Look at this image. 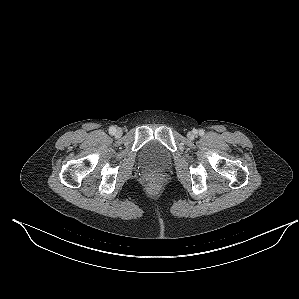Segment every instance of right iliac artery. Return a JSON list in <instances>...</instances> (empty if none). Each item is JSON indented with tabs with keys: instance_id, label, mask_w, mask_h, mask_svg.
Returning <instances> with one entry per match:
<instances>
[{
	"instance_id": "1",
	"label": "right iliac artery",
	"mask_w": 299,
	"mask_h": 299,
	"mask_svg": "<svg viewBox=\"0 0 299 299\" xmlns=\"http://www.w3.org/2000/svg\"><path fill=\"white\" fill-rule=\"evenodd\" d=\"M116 132V128L114 127V126H111L110 128H109V133L110 134H114Z\"/></svg>"
}]
</instances>
